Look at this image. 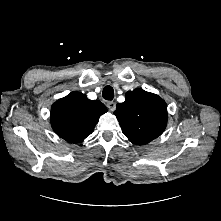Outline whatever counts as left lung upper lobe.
<instances>
[{
    "label": "left lung upper lobe",
    "mask_w": 221,
    "mask_h": 221,
    "mask_svg": "<svg viewBox=\"0 0 221 221\" xmlns=\"http://www.w3.org/2000/svg\"><path fill=\"white\" fill-rule=\"evenodd\" d=\"M117 104L116 115L123 134L134 144L143 145L160 136L167 124V107L158 95L137 88Z\"/></svg>",
    "instance_id": "5c2ea615"
}]
</instances>
